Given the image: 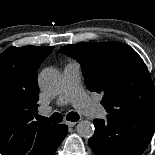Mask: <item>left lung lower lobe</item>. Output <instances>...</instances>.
<instances>
[{
    "mask_svg": "<svg viewBox=\"0 0 155 155\" xmlns=\"http://www.w3.org/2000/svg\"><path fill=\"white\" fill-rule=\"evenodd\" d=\"M89 146L96 155H141L155 129V115H107L94 120Z\"/></svg>",
    "mask_w": 155,
    "mask_h": 155,
    "instance_id": "left-lung-lower-lobe-1",
    "label": "left lung lower lobe"
}]
</instances>
